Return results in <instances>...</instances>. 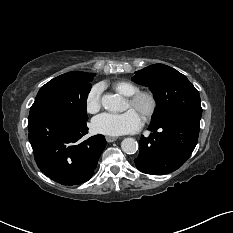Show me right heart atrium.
Wrapping results in <instances>:
<instances>
[{"instance_id":"1","label":"right heart atrium","mask_w":233,"mask_h":233,"mask_svg":"<svg viewBox=\"0 0 233 233\" xmlns=\"http://www.w3.org/2000/svg\"><path fill=\"white\" fill-rule=\"evenodd\" d=\"M102 88L99 84L94 85L86 97V109L90 113L97 112L101 107Z\"/></svg>"}]
</instances>
